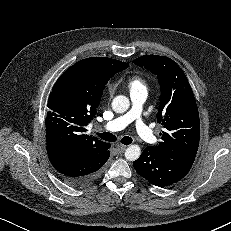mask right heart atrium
<instances>
[{"label": "right heart atrium", "instance_id": "d8ad5b80", "mask_svg": "<svg viewBox=\"0 0 231 231\" xmlns=\"http://www.w3.org/2000/svg\"><path fill=\"white\" fill-rule=\"evenodd\" d=\"M108 91H109V93H112V91H113L112 87H109Z\"/></svg>", "mask_w": 231, "mask_h": 231}]
</instances>
